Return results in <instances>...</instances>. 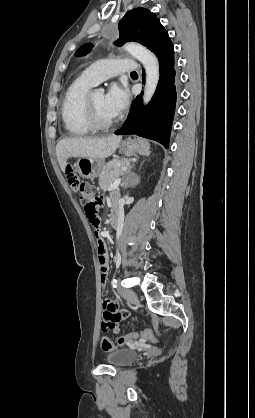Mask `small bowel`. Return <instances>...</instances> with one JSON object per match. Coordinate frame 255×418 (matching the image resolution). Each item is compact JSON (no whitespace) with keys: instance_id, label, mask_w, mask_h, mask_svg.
Returning a JSON list of instances; mask_svg holds the SVG:
<instances>
[{"instance_id":"c3829d8e","label":"small bowel","mask_w":255,"mask_h":418,"mask_svg":"<svg viewBox=\"0 0 255 418\" xmlns=\"http://www.w3.org/2000/svg\"><path fill=\"white\" fill-rule=\"evenodd\" d=\"M116 197V194L113 195ZM96 249L95 254L98 256V261L100 265V282L103 289L106 288L109 265H108V256L106 252L107 242L103 240L102 235L96 236ZM103 330L117 329V326L120 322L129 317V312L127 310H120L119 304L116 300L112 298H103Z\"/></svg>"}]
</instances>
